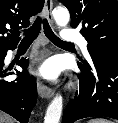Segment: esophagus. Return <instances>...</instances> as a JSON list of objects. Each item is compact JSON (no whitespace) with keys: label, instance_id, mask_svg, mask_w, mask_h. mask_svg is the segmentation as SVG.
<instances>
[{"label":"esophagus","instance_id":"1","mask_svg":"<svg viewBox=\"0 0 118 123\" xmlns=\"http://www.w3.org/2000/svg\"><path fill=\"white\" fill-rule=\"evenodd\" d=\"M53 2L52 0H45L43 14L49 22H53L52 16ZM38 94L41 98L49 99L53 95V89L45 85L41 80L37 82Z\"/></svg>","mask_w":118,"mask_h":123}]
</instances>
